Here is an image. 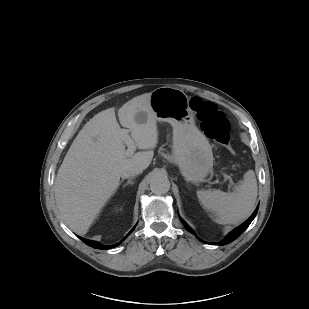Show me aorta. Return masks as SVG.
Returning <instances> with one entry per match:
<instances>
[{
	"label": "aorta",
	"mask_w": 309,
	"mask_h": 309,
	"mask_svg": "<svg viewBox=\"0 0 309 309\" xmlns=\"http://www.w3.org/2000/svg\"><path fill=\"white\" fill-rule=\"evenodd\" d=\"M150 189L156 195L166 194L170 189V182L167 177L156 175L150 182Z\"/></svg>",
	"instance_id": "obj_1"
}]
</instances>
